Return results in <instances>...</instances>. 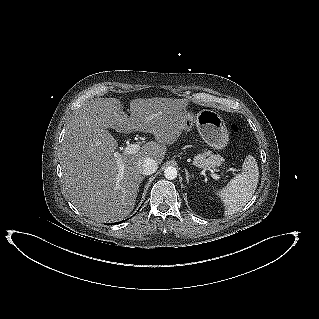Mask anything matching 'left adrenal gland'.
<instances>
[{
	"label": "left adrenal gland",
	"mask_w": 319,
	"mask_h": 319,
	"mask_svg": "<svg viewBox=\"0 0 319 319\" xmlns=\"http://www.w3.org/2000/svg\"><path fill=\"white\" fill-rule=\"evenodd\" d=\"M185 174H186V180H187V182H189V179H190V178H193V177H194L193 175H192V177L189 175V172H188L187 169H185Z\"/></svg>",
	"instance_id": "left-adrenal-gland-1"
}]
</instances>
